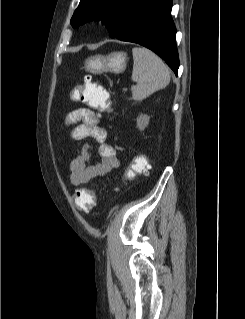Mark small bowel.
<instances>
[{"label": "small bowel", "mask_w": 245, "mask_h": 319, "mask_svg": "<svg viewBox=\"0 0 245 319\" xmlns=\"http://www.w3.org/2000/svg\"><path fill=\"white\" fill-rule=\"evenodd\" d=\"M72 97L79 100L77 92ZM66 124L71 127L69 134L73 140L93 139L100 156V161L91 163L90 147L85 146L80 154L71 159L70 180L73 185H86L119 167L114 148L106 143L107 131L100 125L98 113L89 108L75 109L68 114Z\"/></svg>", "instance_id": "obj_1"}]
</instances>
